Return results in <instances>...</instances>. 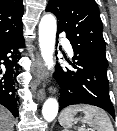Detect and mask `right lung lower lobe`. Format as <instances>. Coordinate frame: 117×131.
Returning <instances> with one entry per match:
<instances>
[{
	"instance_id": "1",
	"label": "right lung lower lobe",
	"mask_w": 117,
	"mask_h": 131,
	"mask_svg": "<svg viewBox=\"0 0 117 131\" xmlns=\"http://www.w3.org/2000/svg\"><path fill=\"white\" fill-rule=\"evenodd\" d=\"M24 47L23 33L0 42V104L5 106L14 117H18V96L16 90L20 66L19 49Z\"/></svg>"
}]
</instances>
